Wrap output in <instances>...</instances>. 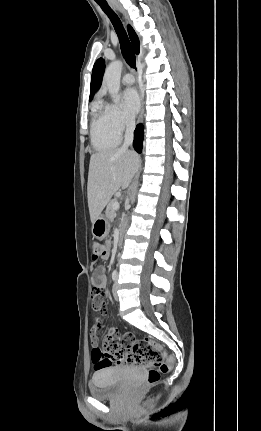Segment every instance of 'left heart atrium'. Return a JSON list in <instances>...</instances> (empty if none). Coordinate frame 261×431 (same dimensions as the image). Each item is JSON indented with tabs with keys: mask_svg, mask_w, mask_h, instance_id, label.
Instances as JSON below:
<instances>
[{
	"mask_svg": "<svg viewBox=\"0 0 261 431\" xmlns=\"http://www.w3.org/2000/svg\"><path fill=\"white\" fill-rule=\"evenodd\" d=\"M122 101L125 111L134 116L140 108V98L134 88H127L122 94Z\"/></svg>",
	"mask_w": 261,
	"mask_h": 431,
	"instance_id": "1",
	"label": "left heart atrium"
}]
</instances>
